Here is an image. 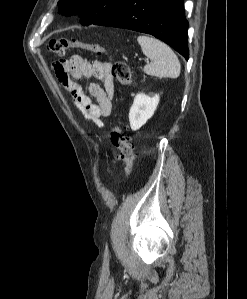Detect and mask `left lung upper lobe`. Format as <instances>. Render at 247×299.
Here are the masks:
<instances>
[{"mask_svg": "<svg viewBox=\"0 0 247 299\" xmlns=\"http://www.w3.org/2000/svg\"><path fill=\"white\" fill-rule=\"evenodd\" d=\"M121 0H60V13L79 15L82 25H91L111 11Z\"/></svg>", "mask_w": 247, "mask_h": 299, "instance_id": "5c2ea615", "label": "left lung upper lobe"}]
</instances>
